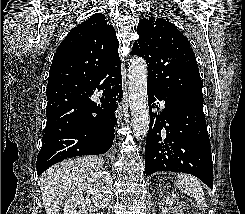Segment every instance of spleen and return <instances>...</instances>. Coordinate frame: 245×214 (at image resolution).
<instances>
[{"instance_id":"spleen-1","label":"spleen","mask_w":245,"mask_h":214,"mask_svg":"<svg viewBox=\"0 0 245 214\" xmlns=\"http://www.w3.org/2000/svg\"><path fill=\"white\" fill-rule=\"evenodd\" d=\"M177 188L184 194L195 199L200 210H204L207 206L205 193L198 179L191 175L179 174L176 179Z\"/></svg>"}]
</instances>
